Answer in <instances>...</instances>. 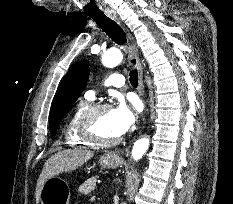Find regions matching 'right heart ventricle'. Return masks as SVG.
<instances>
[{
	"instance_id": "right-heart-ventricle-1",
	"label": "right heart ventricle",
	"mask_w": 233,
	"mask_h": 204,
	"mask_svg": "<svg viewBox=\"0 0 233 204\" xmlns=\"http://www.w3.org/2000/svg\"><path fill=\"white\" fill-rule=\"evenodd\" d=\"M91 106L89 99L79 101L67 118L64 136L66 144L72 147L91 146L79 133L80 120L86 109Z\"/></svg>"
}]
</instances>
